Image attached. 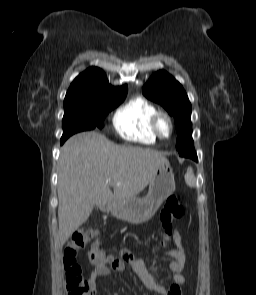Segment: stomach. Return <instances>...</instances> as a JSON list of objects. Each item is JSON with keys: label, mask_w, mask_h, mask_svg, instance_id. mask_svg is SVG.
<instances>
[{"label": "stomach", "mask_w": 256, "mask_h": 295, "mask_svg": "<svg viewBox=\"0 0 256 295\" xmlns=\"http://www.w3.org/2000/svg\"><path fill=\"white\" fill-rule=\"evenodd\" d=\"M174 173L169 162L161 164L149 183L148 194L143 198H132L123 203H115L111 214L132 224L148 221L161 204L175 191Z\"/></svg>", "instance_id": "1"}]
</instances>
